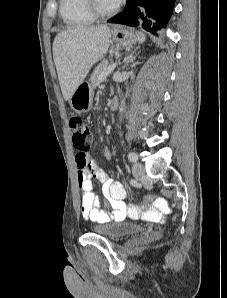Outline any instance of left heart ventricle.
I'll return each instance as SVG.
<instances>
[{
  "label": "left heart ventricle",
  "mask_w": 227,
  "mask_h": 298,
  "mask_svg": "<svg viewBox=\"0 0 227 298\" xmlns=\"http://www.w3.org/2000/svg\"><path fill=\"white\" fill-rule=\"evenodd\" d=\"M96 4L101 10H104V11L109 10L114 7L111 5L109 0H96Z\"/></svg>",
  "instance_id": "obj_1"
}]
</instances>
